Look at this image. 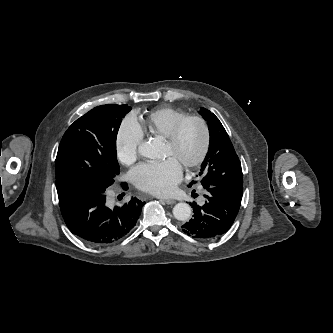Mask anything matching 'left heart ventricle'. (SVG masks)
<instances>
[{"label":"left heart ventricle","instance_id":"left-heart-ventricle-1","mask_svg":"<svg viewBox=\"0 0 333 333\" xmlns=\"http://www.w3.org/2000/svg\"><path fill=\"white\" fill-rule=\"evenodd\" d=\"M202 146V130L197 123H188L175 147L166 143V157L176 159L181 165L194 160Z\"/></svg>","mask_w":333,"mask_h":333}]
</instances>
